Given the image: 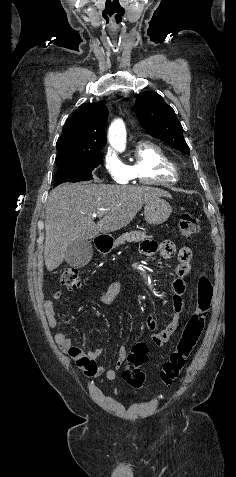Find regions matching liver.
Here are the masks:
<instances>
[{"label": "liver", "instance_id": "liver-1", "mask_svg": "<svg viewBox=\"0 0 236 477\" xmlns=\"http://www.w3.org/2000/svg\"><path fill=\"white\" fill-rule=\"evenodd\" d=\"M170 194L150 186L105 184H62L53 189L45 212L44 259L48 271L56 269L65 258L70 242L92 239L127 226L142 206ZM97 223L92 214L102 212Z\"/></svg>", "mask_w": 236, "mask_h": 477}]
</instances>
